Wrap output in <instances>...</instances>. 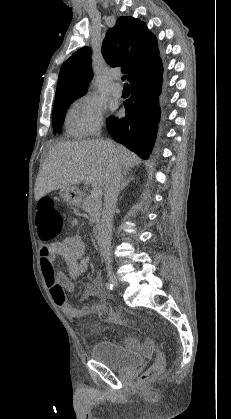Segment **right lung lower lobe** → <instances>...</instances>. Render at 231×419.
<instances>
[{
	"label": "right lung lower lobe",
	"mask_w": 231,
	"mask_h": 419,
	"mask_svg": "<svg viewBox=\"0 0 231 419\" xmlns=\"http://www.w3.org/2000/svg\"><path fill=\"white\" fill-rule=\"evenodd\" d=\"M162 73L163 64L159 59L135 75L130 80L131 97L124 102L126 116L121 119L111 116L106 121L112 138L144 159H147L152 152L157 135Z\"/></svg>",
	"instance_id": "right-lung-lower-lobe-1"
}]
</instances>
